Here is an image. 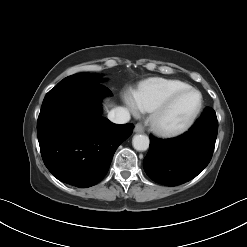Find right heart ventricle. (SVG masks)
Instances as JSON below:
<instances>
[{"label":"right heart ventricle","mask_w":247,"mask_h":247,"mask_svg":"<svg viewBox=\"0 0 247 247\" xmlns=\"http://www.w3.org/2000/svg\"><path fill=\"white\" fill-rule=\"evenodd\" d=\"M188 87V84L179 80L152 78L142 82L134 95L140 110L150 112L173 93Z\"/></svg>","instance_id":"e07e8e85"}]
</instances>
